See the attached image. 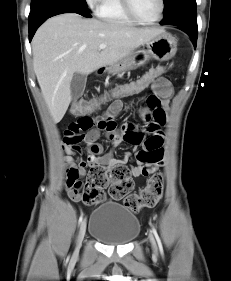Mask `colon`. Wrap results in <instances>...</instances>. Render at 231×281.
I'll return each mask as SVG.
<instances>
[{"instance_id": "obj_1", "label": "colon", "mask_w": 231, "mask_h": 281, "mask_svg": "<svg viewBox=\"0 0 231 281\" xmlns=\"http://www.w3.org/2000/svg\"><path fill=\"white\" fill-rule=\"evenodd\" d=\"M167 69L166 66L153 67L136 79L116 85L98 99L75 103L73 112L75 114L86 113L106 101L128 98L140 94L156 79L160 78ZM133 186L131 173L126 166H115L110 170L96 166L90 169L86 182L82 183L78 181L74 183L73 193L86 204H96L104 199V190L107 187H109V193L114 199H122L132 191ZM163 189L164 177L161 173H155L139 194H131L126 197L125 206L134 212L142 208H152L161 199Z\"/></svg>"}]
</instances>
